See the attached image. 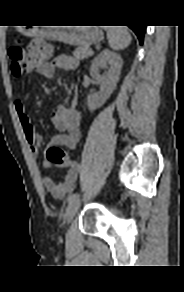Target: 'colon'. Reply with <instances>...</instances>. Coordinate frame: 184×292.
I'll use <instances>...</instances> for the list:
<instances>
[{"mask_svg":"<svg viewBox=\"0 0 184 292\" xmlns=\"http://www.w3.org/2000/svg\"><path fill=\"white\" fill-rule=\"evenodd\" d=\"M51 54V46L42 40L31 42L27 50L20 45H13L8 50L11 72L15 77H19L33 66L46 62ZM46 158L54 165H64L73 161L65 150L56 145L47 149Z\"/></svg>","mask_w":184,"mask_h":292,"instance_id":"5ec220e1","label":"colon"}]
</instances>
